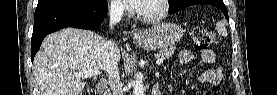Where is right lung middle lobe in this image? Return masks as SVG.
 Here are the masks:
<instances>
[{"label":"right lung middle lobe","mask_w":277,"mask_h":95,"mask_svg":"<svg viewBox=\"0 0 277 95\" xmlns=\"http://www.w3.org/2000/svg\"><path fill=\"white\" fill-rule=\"evenodd\" d=\"M99 1L101 0H39L37 7L59 5V4H90V3L99 2Z\"/></svg>","instance_id":"right-lung-middle-lobe-1"}]
</instances>
